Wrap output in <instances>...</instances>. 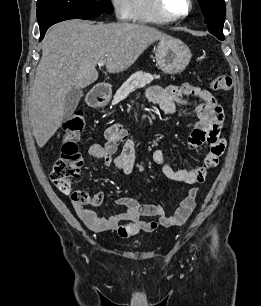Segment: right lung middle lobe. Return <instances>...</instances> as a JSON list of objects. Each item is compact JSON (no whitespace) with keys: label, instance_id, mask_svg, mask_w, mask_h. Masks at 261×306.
I'll return each instance as SVG.
<instances>
[{"label":"right lung middle lobe","instance_id":"dd1d6c3e","mask_svg":"<svg viewBox=\"0 0 261 306\" xmlns=\"http://www.w3.org/2000/svg\"><path fill=\"white\" fill-rule=\"evenodd\" d=\"M37 9H51L76 13H111L110 0H38Z\"/></svg>","mask_w":261,"mask_h":306}]
</instances>
